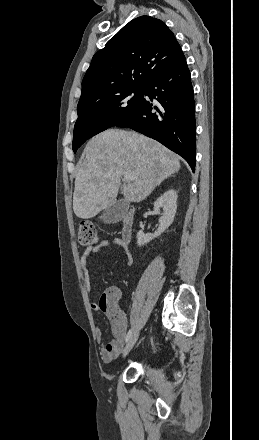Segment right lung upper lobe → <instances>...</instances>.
Wrapping results in <instances>:
<instances>
[{
    "label": "right lung upper lobe",
    "mask_w": 259,
    "mask_h": 440,
    "mask_svg": "<svg viewBox=\"0 0 259 440\" xmlns=\"http://www.w3.org/2000/svg\"><path fill=\"white\" fill-rule=\"evenodd\" d=\"M181 55L174 34L161 20L133 19L93 56L77 109L121 90L147 88Z\"/></svg>",
    "instance_id": "right-lung-upper-lobe-1"
}]
</instances>
